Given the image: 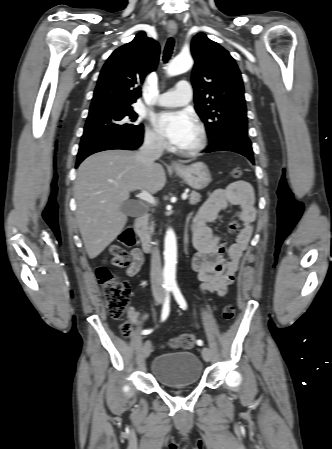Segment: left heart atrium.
I'll list each match as a JSON object with an SVG mask.
<instances>
[{
    "label": "left heart atrium",
    "instance_id": "39dd6f15",
    "mask_svg": "<svg viewBox=\"0 0 332 449\" xmlns=\"http://www.w3.org/2000/svg\"><path fill=\"white\" fill-rule=\"evenodd\" d=\"M155 125L167 140L182 148L196 129L194 118L187 111H169L158 114Z\"/></svg>",
    "mask_w": 332,
    "mask_h": 449
}]
</instances>
